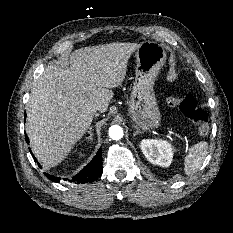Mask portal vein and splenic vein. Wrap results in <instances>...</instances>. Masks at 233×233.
Segmentation results:
<instances>
[{"mask_svg":"<svg viewBox=\"0 0 233 233\" xmlns=\"http://www.w3.org/2000/svg\"><path fill=\"white\" fill-rule=\"evenodd\" d=\"M169 133L172 134V135H175L178 138H180V136L178 134H175L174 132L170 131ZM185 145H186V148L188 149L189 148V143H188V141L186 139H185Z\"/></svg>","mask_w":233,"mask_h":233,"instance_id":"obj_1","label":"portal vein and splenic vein"}]
</instances>
